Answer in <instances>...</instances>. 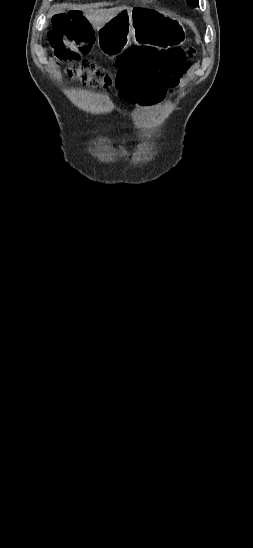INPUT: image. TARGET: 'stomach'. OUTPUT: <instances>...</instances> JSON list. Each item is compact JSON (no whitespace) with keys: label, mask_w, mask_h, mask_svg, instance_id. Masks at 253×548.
I'll use <instances>...</instances> for the list:
<instances>
[{"label":"stomach","mask_w":253,"mask_h":548,"mask_svg":"<svg viewBox=\"0 0 253 548\" xmlns=\"http://www.w3.org/2000/svg\"><path fill=\"white\" fill-rule=\"evenodd\" d=\"M183 25L153 10H124L97 30L99 50L119 55L130 44L179 45L184 40Z\"/></svg>","instance_id":"1"}]
</instances>
